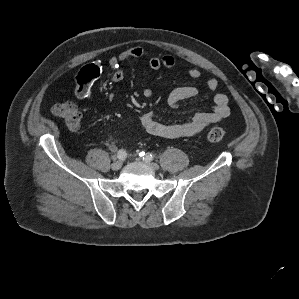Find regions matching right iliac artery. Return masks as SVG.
I'll return each instance as SVG.
<instances>
[{"label": "right iliac artery", "instance_id": "right-iliac-artery-1", "mask_svg": "<svg viewBox=\"0 0 299 299\" xmlns=\"http://www.w3.org/2000/svg\"><path fill=\"white\" fill-rule=\"evenodd\" d=\"M127 156V153L125 150H119L118 153H117V158L119 160H124Z\"/></svg>", "mask_w": 299, "mask_h": 299}]
</instances>
